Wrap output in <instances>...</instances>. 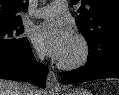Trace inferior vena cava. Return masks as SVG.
I'll use <instances>...</instances> for the list:
<instances>
[{
    "label": "inferior vena cava",
    "mask_w": 119,
    "mask_h": 95,
    "mask_svg": "<svg viewBox=\"0 0 119 95\" xmlns=\"http://www.w3.org/2000/svg\"><path fill=\"white\" fill-rule=\"evenodd\" d=\"M42 58V56H39ZM33 88L29 83H24L21 89V95H34Z\"/></svg>",
    "instance_id": "inferior-vena-cava-1"
}]
</instances>
